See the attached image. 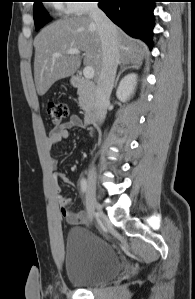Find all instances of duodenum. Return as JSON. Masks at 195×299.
Segmentation results:
<instances>
[{"label":"duodenum","instance_id":"410a0bca","mask_svg":"<svg viewBox=\"0 0 195 299\" xmlns=\"http://www.w3.org/2000/svg\"><path fill=\"white\" fill-rule=\"evenodd\" d=\"M72 84L85 95L88 101V107L84 113L83 122L87 125L96 123L102 112V102L99 97L97 84L87 81L80 76H74L72 78Z\"/></svg>","mask_w":195,"mask_h":299}]
</instances>
